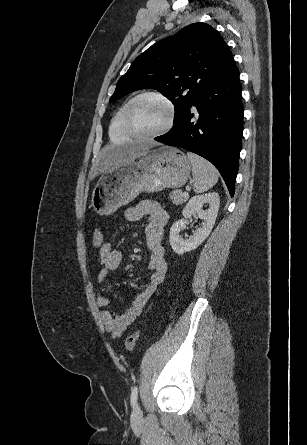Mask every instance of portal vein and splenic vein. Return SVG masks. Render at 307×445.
Listing matches in <instances>:
<instances>
[{"mask_svg": "<svg viewBox=\"0 0 307 445\" xmlns=\"http://www.w3.org/2000/svg\"><path fill=\"white\" fill-rule=\"evenodd\" d=\"M186 190H190V186H186ZM184 196H188V192H183Z\"/></svg>", "mask_w": 307, "mask_h": 445, "instance_id": "1", "label": "portal vein and splenic vein"}]
</instances>
